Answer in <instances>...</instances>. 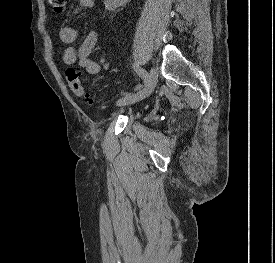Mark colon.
<instances>
[{
    "label": "colon",
    "mask_w": 275,
    "mask_h": 263,
    "mask_svg": "<svg viewBox=\"0 0 275 263\" xmlns=\"http://www.w3.org/2000/svg\"><path fill=\"white\" fill-rule=\"evenodd\" d=\"M51 10L55 13H62L65 10L67 0H46ZM66 77L69 87L75 96L81 98L87 103H93L92 95L85 88L84 81L80 73L74 68L69 67L66 70Z\"/></svg>",
    "instance_id": "colon-1"
}]
</instances>
